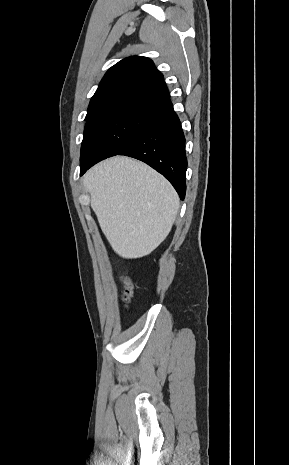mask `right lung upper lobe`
<instances>
[{"mask_svg": "<svg viewBox=\"0 0 289 465\" xmlns=\"http://www.w3.org/2000/svg\"><path fill=\"white\" fill-rule=\"evenodd\" d=\"M169 101L163 75L146 57L125 58L112 66L104 75L91 98L86 118L124 102H146L165 105Z\"/></svg>", "mask_w": 289, "mask_h": 465, "instance_id": "cb5924a9", "label": "right lung upper lobe"}]
</instances>
